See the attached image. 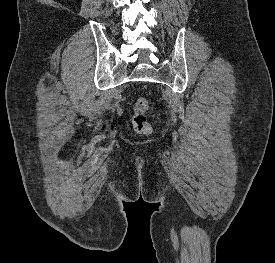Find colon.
I'll return each instance as SVG.
<instances>
[{"instance_id": "1", "label": "colon", "mask_w": 275, "mask_h": 263, "mask_svg": "<svg viewBox=\"0 0 275 263\" xmlns=\"http://www.w3.org/2000/svg\"><path fill=\"white\" fill-rule=\"evenodd\" d=\"M149 109L150 103L147 98L138 97L135 100L132 123L134 130L139 134L147 135L152 130V126L147 117Z\"/></svg>"}]
</instances>
